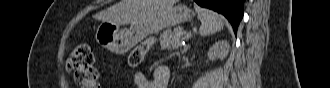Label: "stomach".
Returning a JSON list of instances; mask_svg holds the SVG:
<instances>
[{
	"label": "stomach",
	"mask_w": 330,
	"mask_h": 88,
	"mask_svg": "<svg viewBox=\"0 0 330 88\" xmlns=\"http://www.w3.org/2000/svg\"><path fill=\"white\" fill-rule=\"evenodd\" d=\"M193 16L194 12L186 5H171L123 30L115 23L103 21L96 29L95 38L102 47L124 54L147 36L184 23Z\"/></svg>",
	"instance_id": "1"
}]
</instances>
